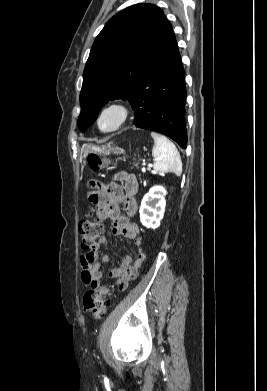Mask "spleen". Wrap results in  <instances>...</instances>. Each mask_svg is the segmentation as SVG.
I'll use <instances>...</instances> for the list:
<instances>
[{
    "label": "spleen",
    "mask_w": 267,
    "mask_h": 391,
    "mask_svg": "<svg viewBox=\"0 0 267 391\" xmlns=\"http://www.w3.org/2000/svg\"><path fill=\"white\" fill-rule=\"evenodd\" d=\"M154 146L152 155L155 158L153 168L160 172H173L176 176L182 174V161L176 146L164 135L152 132Z\"/></svg>",
    "instance_id": "obj_1"
}]
</instances>
